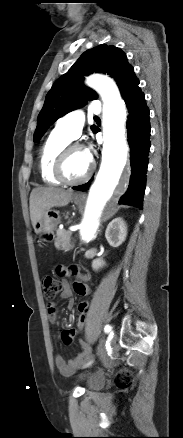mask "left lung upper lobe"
I'll return each mask as SVG.
<instances>
[{
    "label": "left lung upper lobe",
    "mask_w": 183,
    "mask_h": 438,
    "mask_svg": "<svg viewBox=\"0 0 183 438\" xmlns=\"http://www.w3.org/2000/svg\"><path fill=\"white\" fill-rule=\"evenodd\" d=\"M93 72L107 73L113 77L121 93L135 78L133 67L126 54L113 45L101 44L85 51L69 71L62 75L48 92L39 113L34 142H39L49 126L58 118L82 107L87 100L96 99V93L83 85V76ZM93 132L96 126H91Z\"/></svg>",
    "instance_id": "obj_1"
}]
</instances>
